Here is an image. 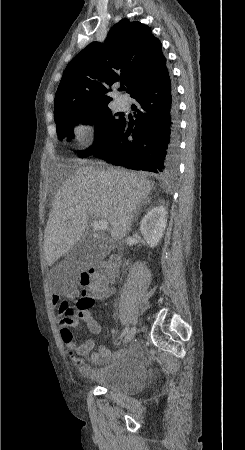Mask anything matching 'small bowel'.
<instances>
[{
  "mask_svg": "<svg viewBox=\"0 0 245 450\" xmlns=\"http://www.w3.org/2000/svg\"><path fill=\"white\" fill-rule=\"evenodd\" d=\"M114 293V289L107 286L105 288L94 287L89 294V297L92 300H103L109 298ZM72 297V295L70 296ZM61 296L52 295L50 298V302L53 306H56L60 303ZM79 317L85 322L86 327L94 334H99L101 332V326L96 321V319L92 315L91 308L87 310H78ZM115 333V330L111 331ZM63 342L66 345L68 352L73 360H77L79 355L88 354L95 346V340L89 339L85 341L83 344L77 346L74 342V339L65 340L63 338ZM108 351L104 348H101L98 352L92 354L91 359L93 361H97L100 358L108 355Z\"/></svg>",
  "mask_w": 245,
  "mask_h": 450,
  "instance_id": "c3829d8e",
  "label": "small bowel"
}]
</instances>
